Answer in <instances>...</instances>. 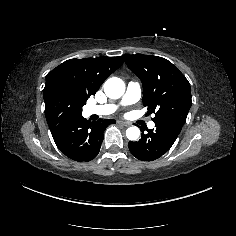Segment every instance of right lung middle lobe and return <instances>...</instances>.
<instances>
[{
	"mask_svg": "<svg viewBox=\"0 0 236 236\" xmlns=\"http://www.w3.org/2000/svg\"><path fill=\"white\" fill-rule=\"evenodd\" d=\"M43 96L45 116L50 129L82 115V106L86 103L74 96L66 86L60 83L45 87Z\"/></svg>",
	"mask_w": 236,
	"mask_h": 236,
	"instance_id": "1",
	"label": "right lung middle lobe"
}]
</instances>
